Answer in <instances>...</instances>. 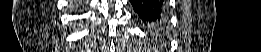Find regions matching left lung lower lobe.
I'll use <instances>...</instances> for the list:
<instances>
[{
    "label": "left lung lower lobe",
    "mask_w": 261,
    "mask_h": 52,
    "mask_svg": "<svg viewBox=\"0 0 261 52\" xmlns=\"http://www.w3.org/2000/svg\"><path fill=\"white\" fill-rule=\"evenodd\" d=\"M134 11L148 27L157 30L165 23L164 0H130Z\"/></svg>",
    "instance_id": "0a47b994"
}]
</instances>
